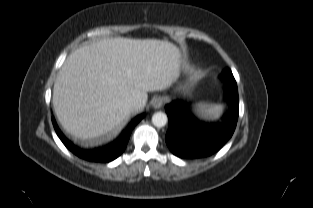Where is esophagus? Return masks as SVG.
Masks as SVG:
<instances>
[{
    "mask_svg": "<svg viewBox=\"0 0 313 208\" xmlns=\"http://www.w3.org/2000/svg\"><path fill=\"white\" fill-rule=\"evenodd\" d=\"M165 99L163 97H156L152 100V107L155 109H159L163 106Z\"/></svg>",
    "mask_w": 313,
    "mask_h": 208,
    "instance_id": "34e87169",
    "label": "esophagus"
}]
</instances>
